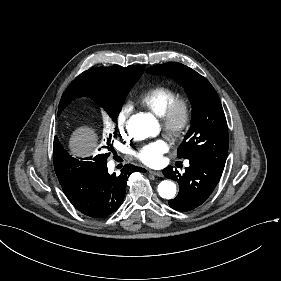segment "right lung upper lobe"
<instances>
[{"label":"right lung upper lobe","instance_id":"cb5924a9","mask_svg":"<svg viewBox=\"0 0 281 281\" xmlns=\"http://www.w3.org/2000/svg\"><path fill=\"white\" fill-rule=\"evenodd\" d=\"M143 65L98 67L80 74L64 92L59 113L73 99L88 96L97 103L103 100L126 98L128 92L144 71Z\"/></svg>","mask_w":281,"mask_h":281}]
</instances>
